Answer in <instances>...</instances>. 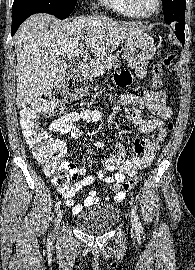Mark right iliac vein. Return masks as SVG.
Instances as JSON below:
<instances>
[{"label":"right iliac vein","instance_id":"right-iliac-vein-1","mask_svg":"<svg viewBox=\"0 0 195 270\" xmlns=\"http://www.w3.org/2000/svg\"><path fill=\"white\" fill-rule=\"evenodd\" d=\"M62 218H63L62 210H59L57 212V216H56V219H55V229H56V232H57V230H58V228L60 226V222H61Z\"/></svg>","mask_w":195,"mask_h":270}]
</instances>
